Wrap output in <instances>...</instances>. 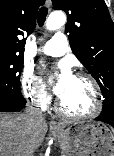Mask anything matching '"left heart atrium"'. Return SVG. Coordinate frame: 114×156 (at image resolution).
<instances>
[{
  "label": "left heart atrium",
  "instance_id": "left-heart-atrium-1",
  "mask_svg": "<svg viewBox=\"0 0 114 156\" xmlns=\"http://www.w3.org/2000/svg\"><path fill=\"white\" fill-rule=\"evenodd\" d=\"M59 74L57 80L52 87L53 92L57 96H61L66 90L67 86L71 82L73 75L71 73L70 64L68 62H62L58 65Z\"/></svg>",
  "mask_w": 114,
  "mask_h": 156
}]
</instances>
